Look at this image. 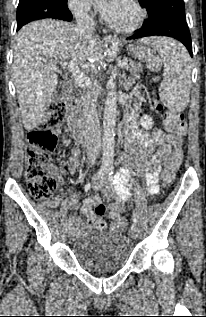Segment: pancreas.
I'll use <instances>...</instances> for the list:
<instances>
[{
  "instance_id": "obj_1",
  "label": "pancreas",
  "mask_w": 206,
  "mask_h": 317,
  "mask_svg": "<svg viewBox=\"0 0 206 317\" xmlns=\"http://www.w3.org/2000/svg\"><path fill=\"white\" fill-rule=\"evenodd\" d=\"M123 69L129 71L133 76H136V73L141 71L142 65L139 61H129L125 62Z\"/></svg>"
}]
</instances>
